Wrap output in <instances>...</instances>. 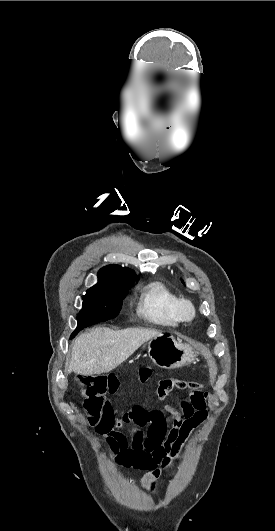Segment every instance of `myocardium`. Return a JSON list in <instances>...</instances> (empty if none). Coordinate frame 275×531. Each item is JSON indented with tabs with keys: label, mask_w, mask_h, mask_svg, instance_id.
I'll use <instances>...</instances> for the list:
<instances>
[{
	"label": "myocardium",
	"mask_w": 275,
	"mask_h": 531,
	"mask_svg": "<svg viewBox=\"0 0 275 531\" xmlns=\"http://www.w3.org/2000/svg\"><path fill=\"white\" fill-rule=\"evenodd\" d=\"M173 310L177 319L182 322H190L196 316V306L194 302L187 297L177 298Z\"/></svg>",
	"instance_id": "1"
}]
</instances>
